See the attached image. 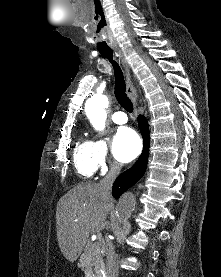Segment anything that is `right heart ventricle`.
<instances>
[{
    "instance_id": "right-heart-ventricle-1",
    "label": "right heart ventricle",
    "mask_w": 221,
    "mask_h": 277,
    "mask_svg": "<svg viewBox=\"0 0 221 277\" xmlns=\"http://www.w3.org/2000/svg\"><path fill=\"white\" fill-rule=\"evenodd\" d=\"M73 161L77 173L84 179L91 178L95 171L96 165L93 158V144L92 141L81 139L77 142Z\"/></svg>"
}]
</instances>
